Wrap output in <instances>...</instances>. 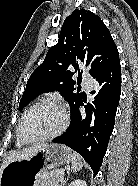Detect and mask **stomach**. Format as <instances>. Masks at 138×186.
Instances as JSON below:
<instances>
[{"mask_svg":"<svg viewBox=\"0 0 138 186\" xmlns=\"http://www.w3.org/2000/svg\"><path fill=\"white\" fill-rule=\"evenodd\" d=\"M71 159L65 145L46 144L31 157L10 162L0 174V186H36L43 172L67 165Z\"/></svg>","mask_w":138,"mask_h":186,"instance_id":"0dacf381","label":"stomach"}]
</instances>
